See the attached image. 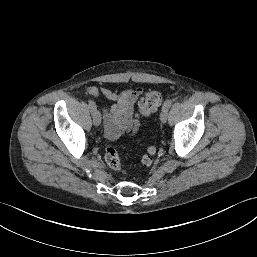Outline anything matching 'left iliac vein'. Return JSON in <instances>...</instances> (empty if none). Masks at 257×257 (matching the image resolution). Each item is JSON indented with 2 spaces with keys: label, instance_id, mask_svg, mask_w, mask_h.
Returning <instances> with one entry per match:
<instances>
[{
  "label": "left iliac vein",
  "instance_id": "left-iliac-vein-1",
  "mask_svg": "<svg viewBox=\"0 0 257 257\" xmlns=\"http://www.w3.org/2000/svg\"><path fill=\"white\" fill-rule=\"evenodd\" d=\"M160 121L162 123H166V121H167V110L166 109H162V111L160 113Z\"/></svg>",
  "mask_w": 257,
  "mask_h": 257
}]
</instances>
